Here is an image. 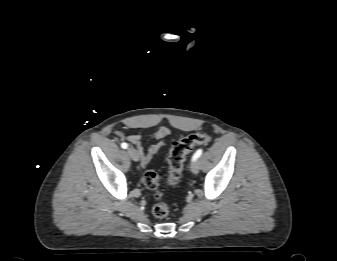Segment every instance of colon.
<instances>
[{"instance_id":"colon-1","label":"colon","mask_w":337,"mask_h":261,"mask_svg":"<svg viewBox=\"0 0 337 261\" xmlns=\"http://www.w3.org/2000/svg\"><path fill=\"white\" fill-rule=\"evenodd\" d=\"M211 137L206 133H194L176 140L168 155L167 177L164 184L167 187H175L181 179L183 165L187 154L197 145L206 144ZM144 185L154 191L156 200L152 213L156 218L163 219L170 215L171 207L162 201V194L158 191L162 181L158 173L154 170H147L143 175Z\"/></svg>"}]
</instances>
